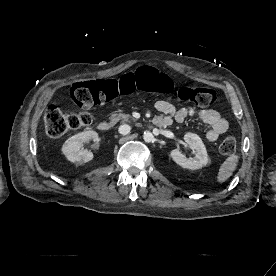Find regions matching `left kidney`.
<instances>
[{
	"mask_svg": "<svg viewBox=\"0 0 276 276\" xmlns=\"http://www.w3.org/2000/svg\"><path fill=\"white\" fill-rule=\"evenodd\" d=\"M185 142L195 150L193 158H187L179 149H173L170 152L171 158L181 167L197 170L206 166L209 162L208 154L201 138L194 133H186L184 135Z\"/></svg>",
	"mask_w": 276,
	"mask_h": 276,
	"instance_id": "5707ae66",
	"label": "left kidney"
}]
</instances>
